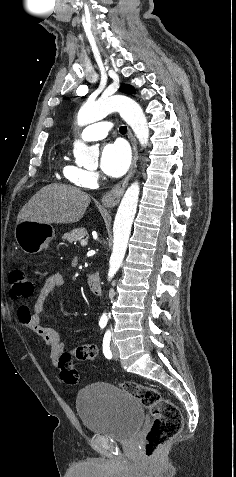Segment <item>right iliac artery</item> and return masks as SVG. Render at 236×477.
<instances>
[{
  "mask_svg": "<svg viewBox=\"0 0 236 477\" xmlns=\"http://www.w3.org/2000/svg\"><path fill=\"white\" fill-rule=\"evenodd\" d=\"M107 322L106 321H100L99 326L103 329L106 326Z\"/></svg>",
  "mask_w": 236,
  "mask_h": 477,
  "instance_id": "obj_1",
  "label": "right iliac artery"
}]
</instances>
